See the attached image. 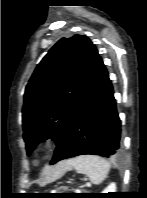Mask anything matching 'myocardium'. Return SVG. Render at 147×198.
<instances>
[{
  "instance_id": "f54148a6",
  "label": "myocardium",
  "mask_w": 147,
  "mask_h": 198,
  "mask_svg": "<svg viewBox=\"0 0 147 198\" xmlns=\"http://www.w3.org/2000/svg\"><path fill=\"white\" fill-rule=\"evenodd\" d=\"M55 146V140L51 136H45L37 143V149L41 154L50 153Z\"/></svg>"
}]
</instances>
